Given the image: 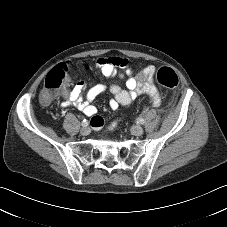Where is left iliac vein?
Returning a JSON list of instances; mask_svg holds the SVG:
<instances>
[{
	"mask_svg": "<svg viewBox=\"0 0 227 227\" xmlns=\"http://www.w3.org/2000/svg\"><path fill=\"white\" fill-rule=\"evenodd\" d=\"M144 132L143 128L141 126H133L131 128V133L135 136H140Z\"/></svg>",
	"mask_w": 227,
	"mask_h": 227,
	"instance_id": "4c4485c4",
	"label": "left iliac vein"
}]
</instances>
